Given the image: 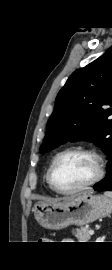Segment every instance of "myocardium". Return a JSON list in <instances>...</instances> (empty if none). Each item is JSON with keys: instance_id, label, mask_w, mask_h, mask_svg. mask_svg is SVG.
<instances>
[{"instance_id": "myocardium-1", "label": "myocardium", "mask_w": 112, "mask_h": 270, "mask_svg": "<svg viewBox=\"0 0 112 270\" xmlns=\"http://www.w3.org/2000/svg\"><path fill=\"white\" fill-rule=\"evenodd\" d=\"M70 153H80V154H85V155L92 157L96 163V174L87 183H85L79 187L73 188V189L65 190V189L59 188L55 184L54 179H53V170H54L55 164L58 161V159L60 157H62L63 155L70 154ZM104 176H105V161H104L103 156L95 149L86 148V147H71V148H67V149H64V150L58 152L53 157V159L49 165V168L47 170V175H46L47 182L50 185V187L56 193L61 194V195H72V194H77V193L83 192L85 190H88V189L92 188L93 186H95L96 184H98L104 178Z\"/></svg>"}]
</instances>
